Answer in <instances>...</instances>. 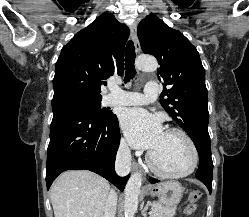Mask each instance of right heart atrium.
Segmentation results:
<instances>
[{
    "label": "right heart atrium",
    "instance_id": "obj_1",
    "mask_svg": "<svg viewBox=\"0 0 249 217\" xmlns=\"http://www.w3.org/2000/svg\"><path fill=\"white\" fill-rule=\"evenodd\" d=\"M121 149L123 152H127L128 151V146L126 144V142L124 140L121 141Z\"/></svg>",
    "mask_w": 249,
    "mask_h": 217
}]
</instances>
